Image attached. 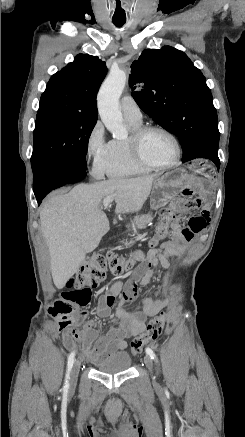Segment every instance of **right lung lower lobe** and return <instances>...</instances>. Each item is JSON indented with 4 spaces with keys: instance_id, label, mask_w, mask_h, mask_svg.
<instances>
[{
    "instance_id": "right-lung-lower-lobe-1",
    "label": "right lung lower lobe",
    "mask_w": 245,
    "mask_h": 437,
    "mask_svg": "<svg viewBox=\"0 0 245 437\" xmlns=\"http://www.w3.org/2000/svg\"><path fill=\"white\" fill-rule=\"evenodd\" d=\"M33 191L38 205L52 190L80 181L86 176V167H72L59 163L45 165L33 172Z\"/></svg>"
}]
</instances>
